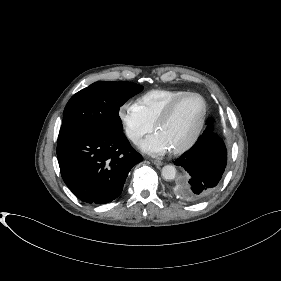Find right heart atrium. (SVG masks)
<instances>
[{"mask_svg":"<svg viewBox=\"0 0 281 281\" xmlns=\"http://www.w3.org/2000/svg\"><path fill=\"white\" fill-rule=\"evenodd\" d=\"M118 116L126 136L134 143H137L153 129V124L146 118L136 102L123 103L119 107Z\"/></svg>","mask_w":281,"mask_h":281,"instance_id":"d8ad5b80","label":"right heart atrium"}]
</instances>
